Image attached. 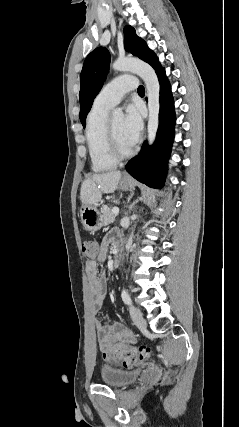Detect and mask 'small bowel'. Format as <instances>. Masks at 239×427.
<instances>
[{
    "label": "small bowel",
    "mask_w": 239,
    "mask_h": 427,
    "mask_svg": "<svg viewBox=\"0 0 239 427\" xmlns=\"http://www.w3.org/2000/svg\"><path fill=\"white\" fill-rule=\"evenodd\" d=\"M121 242L120 234L117 230L109 232L102 240L98 252V260L103 261L106 257L107 249L110 245ZM86 274L88 278L89 308L90 312L97 316L103 306L105 295V277L98 273L96 262L86 264ZM97 342L103 354L104 360L110 362L114 360L112 345L114 343H132L134 341L133 332L123 323L104 324L99 318L95 319Z\"/></svg>",
    "instance_id": "small-bowel-1"
}]
</instances>
